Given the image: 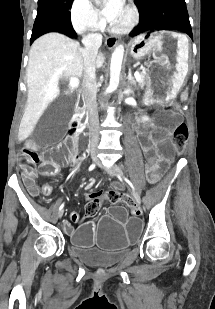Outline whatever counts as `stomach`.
Returning <instances> with one entry per match:
<instances>
[{
  "label": "stomach",
  "mask_w": 215,
  "mask_h": 309,
  "mask_svg": "<svg viewBox=\"0 0 215 309\" xmlns=\"http://www.w3.org/2000/svg\"><path fill=\"white\" fill-rule=\"evenodd\" d=\"M129 53L134 60L152 55L147 65L146 83L155 98H173L183 85L188 73L189 40L175 31H155L133 38Z\"/></svg>",
  "instance_id": "obj_1"
}]
</instances>
